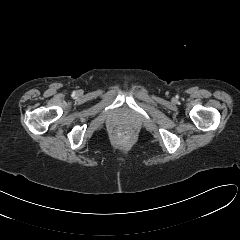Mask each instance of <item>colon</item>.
<instances>
[{"mask_svg":"<svg viewBox=\"0 0 240 240\" xmlns=\"http://www.w3.org/2000/svg\"><path fill=\"white\" fill-rule=\"evenodd\" d=\"M120 134L124 137H129L131 136L132 134V129L129 128V127H122L120 130H119Z\"/></svg>","mask_w":240,"mask_h":240,"instance_id":"5ec220e1","label":"colon"}]
</instances>
